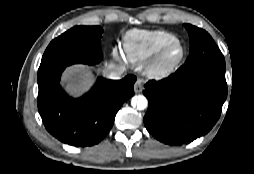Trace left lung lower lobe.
<instances>
[{"instance_id":"0a47b994","label":"left lung lower lobe","mask_w":254,"mask_h":174,"mask_svg":"<svg viewBox=\"0 0 254 174\" xmlns=\"http://www.w3.org/2000/svg\"><path fill=\"white\" fill-rule=\"evenodd\" d=\"M144 116L147 130L168 145L190 143L207 134L220 117L227 97L225 67L202 64L184 68L160 81H149Z\"/></svg>"}]
</instances>
